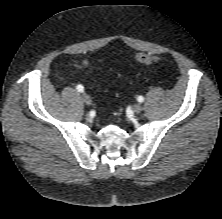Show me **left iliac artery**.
<instances>
[{"label": "left iliac artery", "instance_id": "obj_1", "mask_svg": "<svg viewBox=\"0 0 222 219\" xmlns=\"http://www.w3.org/2000/svg\"><path fill=\"white\" fill-rule=\"evenodd\" d=\"M137 100H138V102H143L144 101V98H143V96H139L138 98H137Z\"/></svg>", "mask_w": 222, "mask_h": 219}]
</instances>
